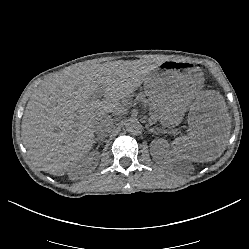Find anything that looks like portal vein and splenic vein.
I'll list each match as a JSON object with an SVG mask.
<instances>
[{
  "label": "portal vein and splenic vein",
  "instance_id": "1",
  "mask_svg": "<svg viewBox=\"0 0 249 249\" xmlns=\"http://www.w3.org/2000/svg\"><path fill=\"white\" fill-rule=\"evenodd\" d=\"M101 96V93L100 92H97L95 97H100Z\"/></svg>",
  "mask_w": 249,
  "mask_h": 249
}]
</instances>
